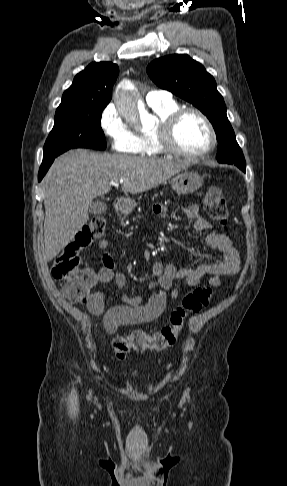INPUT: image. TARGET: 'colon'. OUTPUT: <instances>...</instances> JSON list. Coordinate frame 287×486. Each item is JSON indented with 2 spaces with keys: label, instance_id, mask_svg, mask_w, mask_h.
Returning a JSON list of instances; mask_svg holds the SVG:
<instances>
[{
  "label": "colon",
  "instance_id": "1",
  "mask_svg": "<svg viewBox=\"0 0 287 486\" xmlns=\"http://www.w3.org/2000/svg\"><path fill=\"white\" fill-rule=\"evenodd\" d=\"M205 206L209 217L225 228L228 224V210L225 198L220 188L210 187L206 193ZM106 221L101 216L92 218L76 235L63 251L55 258L51 273L62 282V292L74 303H85L90 296V290L95 284V274L92 270L80 267L79 252L91 245L104 233ZM212 297V289L208 286L198 287L182 299L169 318V323L154 333L136 330L119 336L113 340L116 357L123 360L131 351H161L172 347L189 315L206 307Z\"/></svg>",
  "mask_w": 287,
  "mask_h": 486
}]
</instances>
